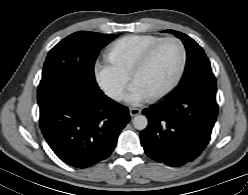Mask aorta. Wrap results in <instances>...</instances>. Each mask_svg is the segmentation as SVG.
I'll return each mask as SVG.
<instances>
[{
	"instance_id": "1",
	"label": "aorta",
	"mask_w": 248,
	"mask_h": 195,
	"mask_svg": "<svg viewBox=\"0 0 248 195\" xmlns=\"http://www.w3.org/2000/svg\"><path fill=\"white\" fill-rule=\"evenodd\" d=\"M133 126L138 130H144L147 127V118L143 115H138L133 119Z\"/></svg>"
}]
</instances>
